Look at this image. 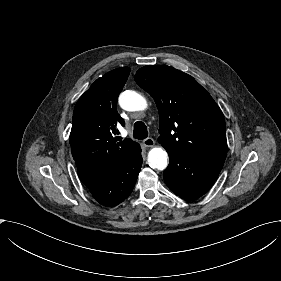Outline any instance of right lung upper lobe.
<instances>
[{"label": "right lung upper lobe", "mask_w": 281, "mask_h": 281, "mask_svg": "<svg viewBox=\"0 0 281 281\" xmlns=\"http://www.w3.org/2000/svg\"><path fill=\"white\" fill-rule=\"evenodd\" d=\"M129 73L128 67L106 73L75 105L71 152L80 180L88 189L112 176L139 146L131 139L116 142L119 137L114 138L117 123L124 126L116 104Z\"/></svg>", "instance_id": "right-lung-upper-lobe-1"}]
</instances>
